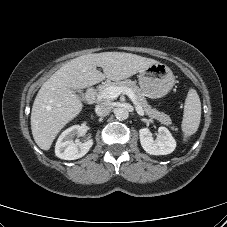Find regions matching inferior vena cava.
<instances>
[{"instance_id": "inferior-vena-cava-1", "label": "inferior vena cava", "mask_w": 227, "mask_h": 227, "mask_svg": "<svg viewBox=\"0 0 227 227\" xmlns=\"http://www.w3.org/2000/svg\"><path fill=\"white\" fill-rule=\"evenodd\" d=\"M112 110V103L104 101L96 105L95 112L98 116H107Z\"/></svg>"}]
</instances>
